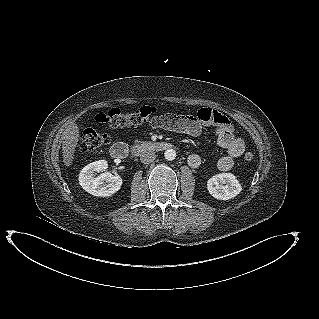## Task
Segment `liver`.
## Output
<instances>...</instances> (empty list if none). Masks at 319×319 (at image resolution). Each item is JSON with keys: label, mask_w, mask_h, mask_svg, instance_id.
Returning a JSON list of instances; mask_svg holds the SVG:
<instances>
[{"label": "liver", "mask_w": 319, "mask_h": 319, "mask_svg": "<svg viewBox=\"0 0 319 319\" xmlns=\"http://www.w3.org/2000/svg\"><path fill=\"white\" fill-rule=\"evenodd\" d=\"M79 141V128L76 124L67 126L62 136L63 162L66 167L72 165L75 149Z\"/></svg>", "instance_id": "6515ba94"}]
</instances>
